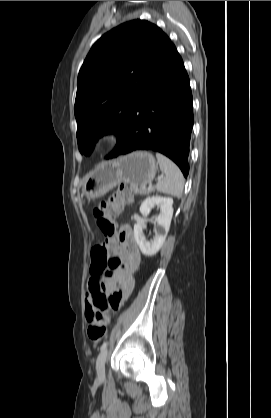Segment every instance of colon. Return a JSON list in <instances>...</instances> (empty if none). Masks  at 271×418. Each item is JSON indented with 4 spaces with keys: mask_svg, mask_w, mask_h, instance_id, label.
<instances>
[{
    "mask_svg": "<svg viewBox=\"0 0 271 418\" xmlns=\"http://www.w3.org/2000/svg\"><path fill=\"white\" fill-rule=\"evenodd\" d=\"M132 200V194L128 188L121 186L94 209L97 226L107 238L112 239L116 232L113 217L118 215L126 205L132 203ZM107 253V245L96 246L91 253L92 264L90 271L94 281V304L86 312V317L88 337L95 343L100 342L106 334L108 319L105 315V310L110 303L101 289V278L110 276L121 264L118 257L108 258ZM118 302V298L113 301L115 305Z\"/></svg>",
    "mask_w": 271,
    "mask_h": 418,
    "instance_id": "1",
    "label": "colon"
}]
</instances>
